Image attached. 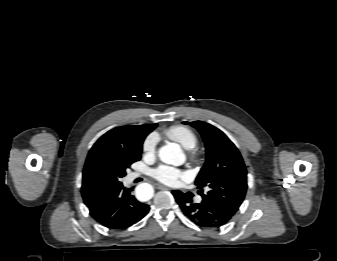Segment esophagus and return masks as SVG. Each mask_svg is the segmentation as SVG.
<instances>
[{"instance_id": "34e87169", "label": "esophagus", "mask_w": 337, "mask_h": 261, "mask_svg": "<svg viewBox=\"0 0 337 261\" xmlns=\"http://www.w3.org/2000/svg\"><path fill=\"white\" fill-rule=\"evenodd\" d=\"M156 188H157V189H160V190L168 189L166 186L161 185V184H156Z\"/></svg>"}]
</instances>
